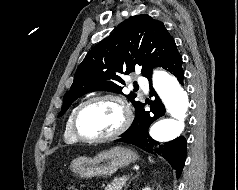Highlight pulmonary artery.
<instances>
[{
    "mask_svg": "<svg viewBox=\"0 0 238 190\" xmlns=\"http://www.w3.org/2000/svg\"><path fill=\"white\" fill-rule=\"evenodd\" d=\"M137 83L142 87V89H143L144 91H147V90H148L147 82H146V80H145L144 78L138 77Z\"/></svg>",
    "mask_w": 238,
    "mask_h": 190,
    "instance_id": "pulmonary-artery-1",
    "label": "pulmonary artery"
}]
</instances>
